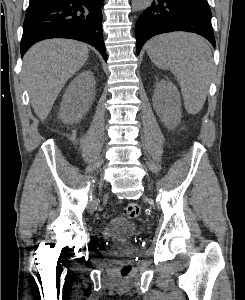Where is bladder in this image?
<instances>
[{
    "label": "bladder",
    "instance_id": "obj_1",
    "mask_svg": "<svg viewBox=\"0 0 245 300\" xmlns=\"http://www.w3.org/2000/svg\"><path fill=\"white\" fill-rule=\"evenodd\" d=\"M138 232L135 223L116 217L107 222L102 229V237L106 241L120 242L134 237Z\"/></svg>",
    "mask_w": 245,
    "mask_h": 300
}]
</instances>
